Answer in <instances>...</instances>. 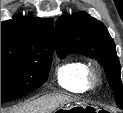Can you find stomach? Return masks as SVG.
<instances>
[{
  "label": "stomach",
  "instance_id": "0dacf381",
  "mask_svg": "<svg viewBox=\"0 0 123 113\" xmlns=\"http://www.w3.org/2000/svg\"><path fill=\"white\" fill-rule=\"evenodd\" d=\"M88 107L82 102H75L67 107H60L56 112L58 113H82L86 112Z\"/></svg>",
  "mask_w": 123,
  "mask_h": 113
}]
</instances>
